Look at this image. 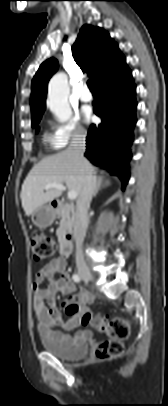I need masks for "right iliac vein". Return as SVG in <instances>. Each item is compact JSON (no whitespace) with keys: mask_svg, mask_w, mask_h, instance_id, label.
Listing matches in <instances>:
<instances>
[{"mask_svg":"<svg viewBox=\"0 0 168 406\" xmlns=\"http://www.w3.org/2000/svg\"><path fill=\"white\" fill-rule=\"evenodd\" d=\"M79 276L84 280V281H92L93 276L88 268L82 267L78 271Z\"/></svg>","mask_w":168,"mask_h":406,"instance_id":"obj_1","label":"right iliac vein"}]
</instances>
